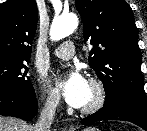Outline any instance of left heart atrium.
Masks as SVG:
<instances>
[{"instance_id": "39dd6f15", "label": "left heart atrium", "mask_w": 147, "mask_h": 131, "mask_svg": "<svg viewBox=\"0 0 147 131\" xmlns=\"http://www.w3.org/2000/svg\"><path fill=\"white\" fill-rule=\"evenodd\" d=\"M89 86V82L79 71H72L55 80L56 91L68 105L75 108H80L84 105Z\"/></svg>"}]
</instances>
